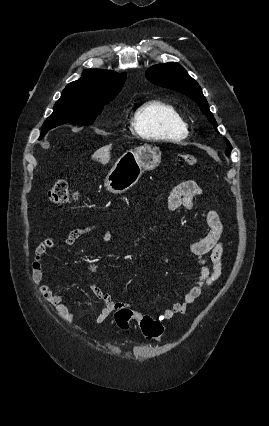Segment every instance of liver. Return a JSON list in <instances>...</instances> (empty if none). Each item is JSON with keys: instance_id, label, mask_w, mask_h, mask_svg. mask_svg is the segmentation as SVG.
Returning a JSON list of instances; mask_svg holds the SVG:
<instances>
[{"instance_id": "1", "label": "liver", "mask_w": 269, "mask_h": 426, "mask_svg": "<svg viewBox=\"0 0 269 426\" xmlns=\"http://www.w3.org/2000/svg\"><path fill=\"white\" fill-rule=\"evenodd\" d=\"M111 146H105L98 149L93 155L92 159L99 160L103 165L107 164L110 161Z\"/></svg>"}]
</instances>
